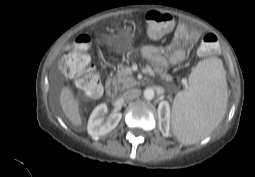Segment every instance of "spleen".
Returning a JSON list of instances; mask_svg holds the SVG:
<instances>
[{"label": "spleen", "instance_id": "obj_1", "mask_svg": "<svg viewBox=\"0 0 255 177\" xmlns=\"http://www.w3.org/2000/svg\"><path fill=\"white\" fill-rule=\"evenodd\" d=\"M189 89L177 93L172 110V131L191 145L208 136L223 119L228 101L223 63L218 58L198 62L189 76Z\"/></svg>", "mask_w": 255, "mask_h": 177}]
</instances>
